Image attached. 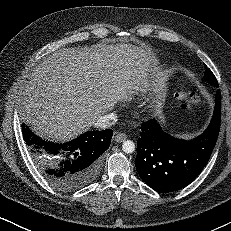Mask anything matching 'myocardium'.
Segmentation results:
<instances>
[{
	"mask_svg": "<svg viewBox=\"0 0 231 231\" xmlns=\"http://www.w3.org/2000/svg\"><path fill=\"white\" fill-rule=\"evenodd\" d=\"M156 106H158L157 103H155V102L151 103V107H156Z\"/></svg>",
	"mask_w": 231,
	"mask_h": 231,
	"instance_id": "1",
	"label": "myocardium"
}]
</instances>
